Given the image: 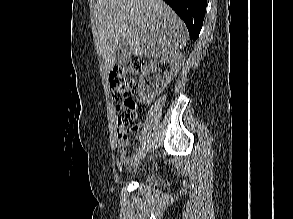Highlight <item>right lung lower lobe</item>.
<instances>
[{"label":"right lung lower lobe","instance_id":"obj_1","mask_svg":"<svg viewBox=\"0 0 293 219\" xmlns=\"http://www.w3.org/2000/svg\"><path fill=\"white\" fill-rule=\"evenodd\" d=\"M185 22L190 38H198L203 25L207 0H164Z\"/></svg>","mask_w":293,"mask_h":219}]
</instances>
